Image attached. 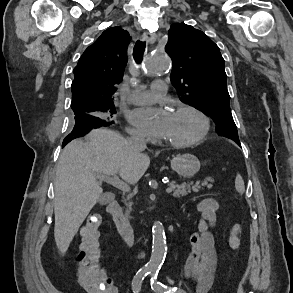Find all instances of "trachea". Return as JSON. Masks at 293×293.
Here are the masks:
<instances>
[{"label": "trachea", "mask_w": 293, "mask_h": 293, "mask_svg": "<svg viewBox=\"0 0 293 293\" xmlns=\"http://www.w3.org/2000/svg\"><path fill=\"white\" fill-rule=\"evenodd\" d=\"M146 43L143 41H137L133 49V57L137 64H140L143 59V53L145 51Z\"/></svg>", "instance_id": "obj_1"}]
</instances>
